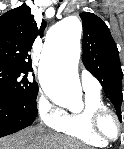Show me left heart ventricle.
<instances>
[{
    "label": "left heart ventricle",
    "mask_w": 124,
    "mask_h": 149,
    "mask_svg": "<svg viewBox=\"0 0 124 149\" xmlns=\"http://www.w3.org/2000/svg\"><path fill=\"white\" fill-rule=\"evenodd\" d=\"M104 128L109 135L114 136L116 134V124L114 120L107 119L104 123Z\"/></svg>",
    "instance_id": "1"
}]
</instances>
